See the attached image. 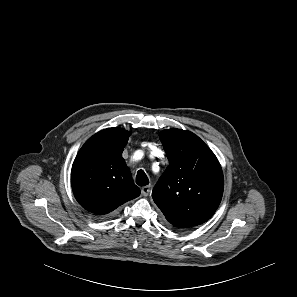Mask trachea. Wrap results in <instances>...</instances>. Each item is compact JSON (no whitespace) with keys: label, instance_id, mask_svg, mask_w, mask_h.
Here are the masks:
<instances>
[{"label":"trachea","instance_id":"trachea-1","mask_svg":"<svg viewBox=\"0 0 297 297\" xmlns=\"http://www.w3.org/2000/svg\"><path fill=\"white\" fill-rule=\"evenodd\" d=\"M136 183L141 186L149 184L148 177L143 170H139L136 175Z\"/></svg>","mask_w":297,"mask_h":297}]
</instances>
